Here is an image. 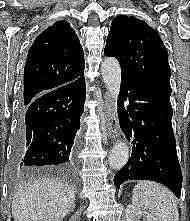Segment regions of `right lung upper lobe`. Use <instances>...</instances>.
Masks as SVG:
<instances>
[{
  "label": "right lung upper lobe",
  "instance_id": "cb5924a9",
  "mask_svg": "<svg viewBox=\"0 0 190 221\" xmlns=\"http://www.w3.org/2000/svg\"><path fill=\"white\" fill-rule=\"evenodd\" d=\"M80 41L64 20L45 29L31 46L24 68L23 104L84 75Z\"/></svg>",
  "mask_w": 190,
  "mask_h": 221
}]
</instances>
